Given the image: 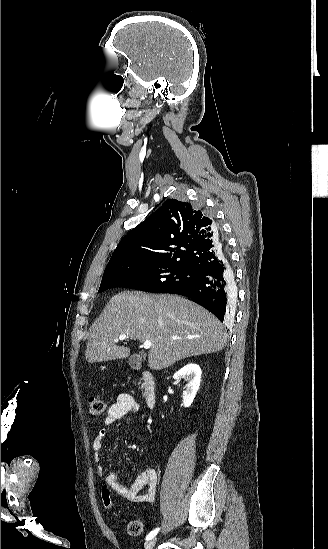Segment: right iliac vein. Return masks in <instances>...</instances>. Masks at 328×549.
Instances as JSON below:
<instances>
[{
	"instance_id": "63e3f726",
	"label": "right iliac vein",
	"mask_w": 328,
	"mask_h": 549,
	"mask_svg": "<svg viewBox=\"0 0 328 549\" xmlns=\"http://www.w3.org/2000/svg\"><path fill=\"white\" fill-rule=\"evenodd\" d=\"M155 543H156V538H151L145 543L144 548L145 549H152L154 547Z\"/></svg>"
}]
</instances>
